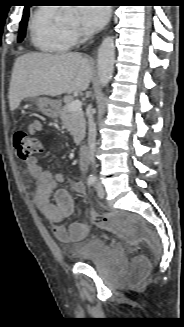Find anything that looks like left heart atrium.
<instances>
[{"label":"left heart atrium","mask_w":184,"mask_h":327,"mask_svg":"<svg viewBox=\"0 0 184 327\" xmlns=\"http://www.w3.org/2000/svg\"><path fill=\"white\" fill-rule=\"evenodd\" d=\"M77 16L79 25L84 31L95 32L106 23L109 17V9L84 5L78 8Z\"/></svg>","instance_id":"obj_1"}]
</instances>
